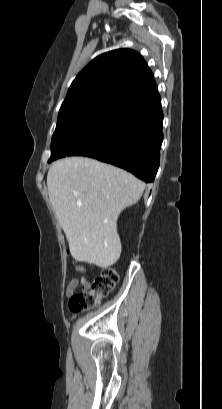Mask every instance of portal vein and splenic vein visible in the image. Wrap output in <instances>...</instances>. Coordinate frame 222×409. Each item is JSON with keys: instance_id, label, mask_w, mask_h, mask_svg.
Masks as SVG:
<instances>
[{"instance_id": "1", "label": "portal vein and splenic vein", "mask_w": 222, "mask_h": 409, "mask_svg": "<svg viewBox=\"0 0 222 409\" xmlns=\"http://www.w3.org/2000/svg\"><path fill=\"white\" fill-rule=\"evenodd\" d=\"M77 205H78V206H81V205H82V202H81V201H78V202H77Z\"/></svg>"}]
</instances>
